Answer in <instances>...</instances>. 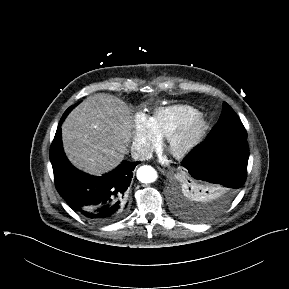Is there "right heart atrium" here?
<instances>
[{
  "mask_svg": "<svg viewBox=\"0 0 289 289\" xmlns=\"http://www.w3.org/2000/svg\"><path fill=\"white\" fill-rule=\"evenodd\" d=\"M161 146V140L154 133L150 118L144 113H137L132 125V148L140 158L149 157Z\"/></svg>",
  "mask_w": 289,
  "mask_h": 289,
  "instance_id": "right-heart-atrium-1",
  "label": "right heart atrium"
}]
</instances>
